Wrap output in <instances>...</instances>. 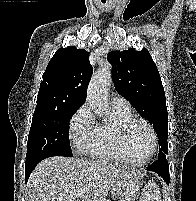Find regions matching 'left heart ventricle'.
Wrapping results in <instances>:
<instances>
[{
  "label": "left heart ventricle",
  "mask_w": 196,
  "mask_h": 201,
  "mask_svg": "<svg viewBox=\"0 0 196 201\" xmlns=\"http://www.w3.org/2000/svg\"><path fill=\"white\" fill-rule=\"evenodd\" d=\"M127 145L134 161L147 158L152 148L151 134L142 123L134 124L128 132Z\"/></svg>",
  "instance_id": "b2bd125f"
}]
</instances>
